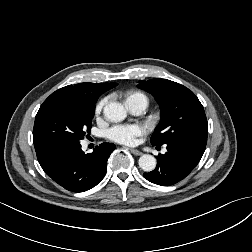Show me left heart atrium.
<instances>
[{"label":"left heart atrium","instance_id":"left-heart-atrium-1","mask_svg":"<svg viewBox=\"0 0 252 252\" xmlns=\"http://www.w3.org/2000/svg\"><path fill=\"white\" fill-rule=\"evenodd\" d=\"M145 133V128L139 124H123L111 127L107 131V137L115 142L132 145L137 137Z\"/></svg>","mask_w":252,"mask_h":252}]
</instances>
